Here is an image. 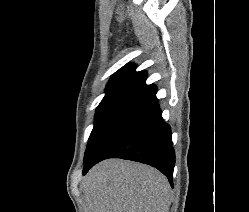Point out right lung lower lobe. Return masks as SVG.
I'll list each match as a JSON object with an SVG mask.
<instances>
[{"label": "right lung lower lobe", "mask_w": 249, "mask_h": 212, "mask_svg": "<svg viewBox=\"0 0 249 212\" xmlns=\"http://www.w3.org/2000/svg\"><path fill=\"white\" fill-rule=\"evenodd\" d=\"M156 91L133 100L111 123L84 162L83 174L104 159L122 158L157 168L173 186L171 130L162 119Z\"/></svg>", "instance_id": "right-lung-lower-lobe-1"}]
</instances>
